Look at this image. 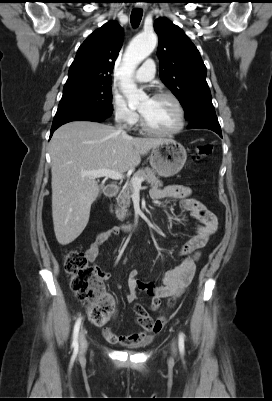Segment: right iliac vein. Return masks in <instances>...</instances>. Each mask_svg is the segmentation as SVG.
I'll return each mask as SVG.
<instances>
[{
    "mask_svg": "<svg viewBox=\"0 0 272 401\" xmlns=\"http://www.w3.org/2000/svg\"><path fill=\"white\" fill-rule=\"evenodd\" d=\"M80 353H84L87 348V341L85 337V330L82 328L79 333Z\"/></svg>",
    "mask_w": 272,
    "mask_h": 401,
    "instance_id": "1",
    "label": "right iliac vein"
}]
</instances>
